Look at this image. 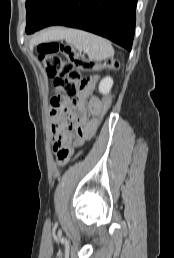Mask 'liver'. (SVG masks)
I'll use <instances>...</instances> for the list:
<instances>
[{
	"mask_svg": "<svg viewBox=\"0 0 174 258\" xmlns=\"http://www.w3.org/2000/svg\"><path fill=\"white\" fill-rule=\"evenodd\" d=\"M54 30L55 29L39 34L37 37H35L33 40H31V45H34V44L42 42V41L55 39L56 37H54L53 34H52V32ZM55 31L57 32L58 30H55Z\"/></svg>",
	"mask_w": 174,
	"mask_h": 258,
	"instance_id": "1",
	"label": "liver"
}]
</instances>
